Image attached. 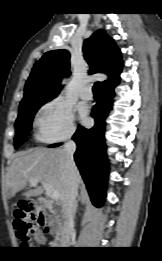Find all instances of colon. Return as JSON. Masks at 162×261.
Returning <instances> with one entry per match:
<instances>
[{
  "label": "colon",
  "instance_id": "obj_1",
  "mask_svg": "<svg viewBox=\"0 0 162 261\" xmlns=\"http://www.w3.org/2000/svg\"><path fill=\"white\" fill-rule=\"evenodd\" d=\"M14 217V228L22 246L31 247L41 239L40 228L45 220L42 208L33 203H23Z\"/></svg>",
  "mask_w": 162,
  "mask_h": 261
}]
</instances>
